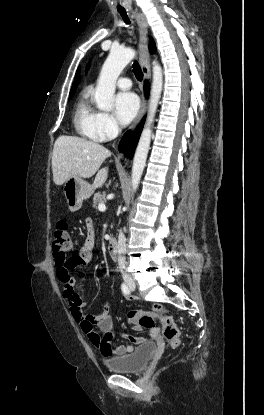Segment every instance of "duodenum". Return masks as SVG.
<instances>
[{
    "instance_id": "410a0bca",
    "label": "duodenum",
    "mask_w": 264,
    "mask_h": 415,
    "mask_svg": "<svg viewBox=\"0 0 264 415\" xmlns=\"http://www.w3.org/2000/svg\"><path fill=\"white\" fill-rule=\"evenodd\" d=\"M106 244H107V251H108L109 257L111 259H115L117 255L116 240L113 237H110L107 239Z\"/></svg>"
}]
</instances>
